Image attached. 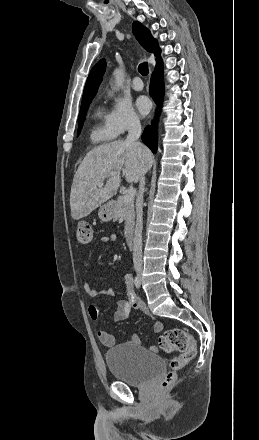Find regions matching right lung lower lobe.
Listing matches in <instances>:
<instances>
[{
  "label": "right lung lower lobe",
  "mask_w": 259,
  "mask_h": 440,
  "mask_svg": "<svg viewBox=\"0 0 259 440\" xmlns=\"http://www.w3.org/2000/svg\"><path fill=\"white\" fill-rule=\"evenodd\" d=\"M150 94L155 102L159 105L156 115L158 117L164 95L162 60L157 62L156 68L152 74ZM155 127V123L152 126H147L142 134V141L151 149L153 153H156L157 150V133L155 131Z\"/></svg>",
  "instance_id": "right-lung-lower-lobe-1"
}]
</instances>
